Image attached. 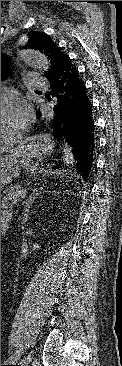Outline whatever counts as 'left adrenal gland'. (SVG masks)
Returning a JSON list of instances; mask_svg holds the SVG:
<instances>
[{
    "label": "left adrenal gland",
    "instance_id": "left-adrenal-gland-1",
    "mask_svg": "<svg viewBox=\"0 0 122 366\" xmlns=\"http://www.w3.org/2000/svg\"><path fill=\"white\" fill-rule=\"evenodd\" d=\"M35 192V191H34ZM34 192L29 196V198L26 200V206L25 207H28L29 206V203H31L32 201V198H34Z\"/></svg>",
    "mask_w": 122,
    "mask_h": 366
}]
</instances>
